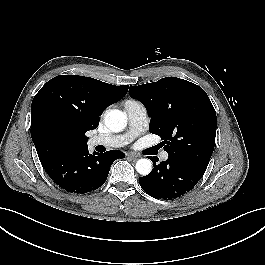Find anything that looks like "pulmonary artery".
Returning <instances> with one entry per match:
<instances>
[{"instance_id":"e3ab8cb5","label":"pulmonary artery","mask_w":265,"mask_h":265,"mask_svg":"<svg viewBox=\"0 0 265 265\" xmlns=\"http://www.w3.org/2000/svg\"><path fill=\"white\" fill-rule=\"evenodd\" d=\"M128 117L129 128L123 134L96 135L89 139L90 146L102 145L105 147H123L131 142L141 131L145 118L146 108L137 101H126L124 104ZM162 160L168 158V153L163 151L160 155Z\"/></svg>"}]
</instances>
